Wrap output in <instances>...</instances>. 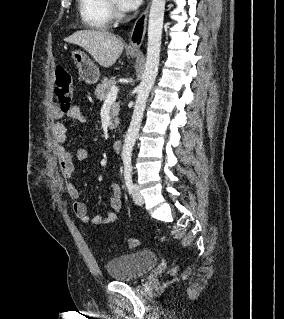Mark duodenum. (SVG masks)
I'll return each mask as SVG.
<instances>
[{
    "label": "duodenum",
    "instance_id": "410a0bca",
    "mask_svg": "<svg viewBox=\"0 0 284 319\" xmlns=\"http://www.w3.org/2000/svg\"><path fill=\"white\" fill-rule=\"evenodd\" d=\"M122 147H123V141L121 139H117L113 142V149L116 151V152H119L122 150Z\"/></svg>",
    "mask_w": 284,
    "mask_h": 319
}]
</instances>
